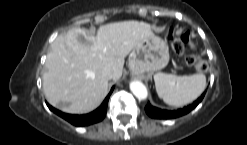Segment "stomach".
Listing matches in <instances>:
<instances>
[{"mask_svg": "<svg viewBox=\"0 0 247 145\" xmlns=\"http://www.w3.org/2000/svg\"><path fill=\"white\" fill-rule=\"evenodd\" d=\"M169 62L167 43L154 34L144 38L129 55V68L133 74L142 75L163 69Z\"/></svg>", "mask_w": 247, "mask_h": 145, "instance_id": "1", "label": "stomach"}]
</instances>
